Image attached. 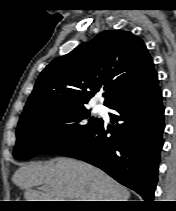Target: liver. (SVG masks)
<instances>
[{
    "label": "liver",
    "mask_w": 176,
    "mask_h": 211,
    "mask_svg": "<svg viewBox=\"0 0 176 211\" xmlns=\"http://www.w3.org/2000/svg\"><path fill=\"white\" fill-rule=\"evenodd\" d=\"M12 182L24 190L26 201H128L130 197L124 186L101 169L65 157L22 165ZM39 185L44 192L34 189Z\"/></svg>",
    "instance_id": "6515ba94"
}]
</instances>
